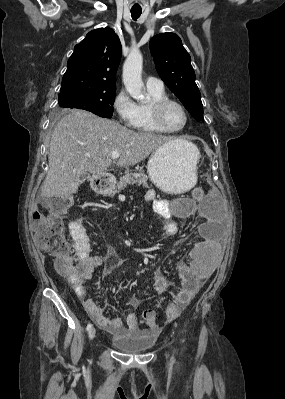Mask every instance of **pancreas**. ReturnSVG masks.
Returning <instances> with one entry per match:
<instances>
[{
	"mask_svg": "<svg viewBox=\"0 0 285 399\" xmlns=\"http://www.w3.org/2000/svg\"><path fill=\"white\" fill-rule=\"evenodd\" d=\"M148 178L142 173H137L134 171L127 172L123 177L120 178V181L116 184H112L110 188L107 190L106 194L109 197L115 196V194L119 193L123 190L127 185H142L146 188H149L147 183Z\"/></svg>",
	"mask_w": 285,
	"mask_h": 399,
	"instance_id": "1",
	"label": "pancreas"
}]
</instances>
